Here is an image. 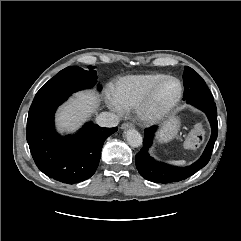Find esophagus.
<instances>
[{
  "instance_id": "1",
  "label": "esophagus",
  "mask_w": 241,
  "mask_h": 241,
  "mask_svg": "<svg viewBox=\"0 0 241 241\" xmlns=\"http://www.w3.org/2000/svg\"><path fill=\"white\" fill-rule=\"evenodd\" d=\"M130 128H133V125L131 123L126 122L121 125V129H130Z\"/></svg>"
}]
</instances>
